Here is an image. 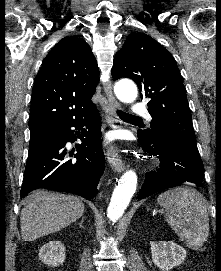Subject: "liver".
Masks as SVG:
<instances>
[{"label": "liver", "instance_id": "obj_1", "mask_svg": "<svg viewBox=\"0 0 221 271\" xmlns=\"http://www.w3.org/2000/svg\"><path fill=\"white\" fill-rule=\"evenodd\" d=\"M84 203L75 195L50 193L35 189L27 195L21 209V233L23 241H34L43 235L60 231L77 221L84 213Z\"/></svg>", "mask_w": 221, "mask_h": 271}]
</instances>
